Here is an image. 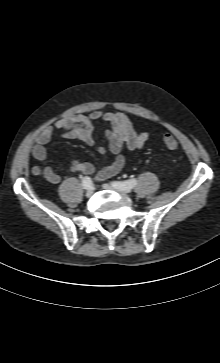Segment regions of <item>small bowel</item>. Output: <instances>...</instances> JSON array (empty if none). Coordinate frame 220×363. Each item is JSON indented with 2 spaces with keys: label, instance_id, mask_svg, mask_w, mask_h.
I'll return each mask as SVG.
<instances>
[{
  "label": "small bowel",
  "instance_id": "obj_1",
  "mask_svg": "<svg viewBox=\"0 0 220 363\" xmlns=\"http://www.w3.org/2000/svg\"><path fill=\"white\" fill-rule=\"evenodd\" d=\"M105 121L110 124V129L104 133L109 150L116 155L115 160L108 166L97 170L88 162L79 161L73 154L70 155L72 162L70 170L74 173L93 175L97 181H105L116 175L124 166L125 158L121 154L124 147L132 152L139 151L148 139L146 132L137 131L129 118L120 112L93 111L89 115H71L47 126L35 139L32 155L38 161H45L47 152L45 145L48 144L55 130H61L67 139H78L89 146H95L94 123ZM101 156L106 155L103 146L96 148ZM32 173L44 177L49 183L57 184L60 176L50 167L34 166Z\"/></svg>",
  "mask_w": 220,
  "mask_h": 363
}]
</instances>
